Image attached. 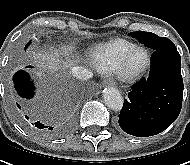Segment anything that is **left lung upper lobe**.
<instances>
[{"label": "left lung upper lobe", "instance_id": "obj_1", "mask_svg": "<svg viewBox=\"0 0 190 165\" xmlns=\"http://www.w3.org/2000/svg\"><path fill=\"white\" fill-rule=\"evenodd\" d=\"M129 35L136 38L139 42L153 50H156L159 47H162L171 42L168 38L159 37L151 32H131Z\"/></svg>", "mask_w": 190, "mask_h": 165}]
</instances>
